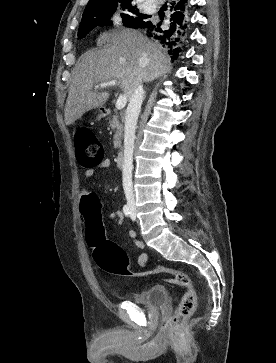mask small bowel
<instances>
[{"label":"small bowel","instance_id":"1","mask_svg":"<svg viewBox=\"0 0 276 363\" xmlns=\"http://www.w3.org/2000/svg\"><path fill=\"white\" fill-rule=\"evenodd\" d=\"M110 166V160L109 159H105L103 160L101 163H99L96 167L93 168H89L86 170L85 172V176L87 178H91L93 177L97 171L99 170H103L106 169ZM98 198L95 192H93L92 190L89 189H83L82 193H81V211L82 214L87 217L90 213L92 212H97L98 210ZM110 218L111 220H113L114 222H116L118 225L122 224V213L120 211H114L110 214ZM129 237L131 238V240L133 241V243L135 244V246L139 249H144L145 244L143 241L136 239L135 234L133 232L129 233ZM138 263L141 267H146L147 263H148V255L147 253L143 252L139 255L138 257ZM120 276H126V275H120Z\"/></svg>","mask_w":276,"mask_h":363}]
</instances>
